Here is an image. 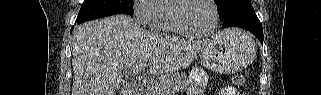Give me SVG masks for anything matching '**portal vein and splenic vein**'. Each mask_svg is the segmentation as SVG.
Returning <instances> with one entry per match:
<instances>
[{
	"label": "portal vein and splenic vein",
	"instance_id": "18ae733b",
	"mask_svg": "<svg viewBox=\"0 0 321 95\" xmlns=\"http://www.w3.org/2000/svg\"><path fill=\"white\" fill-rule=\"evenodd\" d=\"M145 68V62L138 64V66H136V69L134 70L133 74H137L138 71H141ZM139 81L142 82L143 84H147L148 86H154L157 85V81L154 80H150L147 78H139Z\"/></svg>",
	"mask_w": 321,
	"mask_h": 95
}]
</instances>
